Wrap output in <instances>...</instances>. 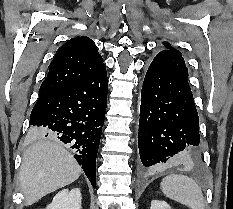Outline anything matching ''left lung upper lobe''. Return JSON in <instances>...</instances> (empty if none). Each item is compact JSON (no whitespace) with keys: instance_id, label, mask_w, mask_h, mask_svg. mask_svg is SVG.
<instances>
[{"instance_id":"1","label":"left lung upper lobe","mask_w":233,"mask_h":209,"mask_svg":"<svg viewBox=\"0 0 233 209\" xmlns=\"http://www.w3.org/2000/svg\"><path fill=\"white\" fill-rule=\"evenodd\" d=\"M163 45L166 47V50H163V51L175 53V54H177V55L182 56V55L179 53L178 50L173 49V47H172L170 44H168L167 42H164Z\"/></svg>"}]
</instances>
